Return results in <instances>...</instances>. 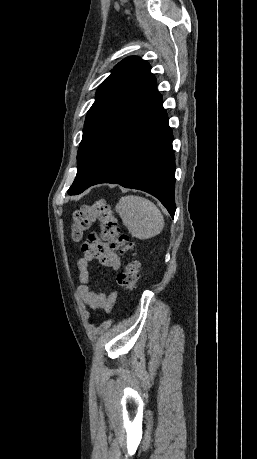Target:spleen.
Returning a JSON list of instances; mask_svg holds the SVG:
<instances>
[{
    "label": "spleen",
    "mask_w": 257,
    "mask_h": 459,
    "mask_svg": "<svg viewBox=\"0 0 257 459\" xmlns=\"http://www.w3.org/2000/svg\"><path fill=\"white\" fill-rule=\"evenodd\" d=\"M116 211L129 233L145 240L158 235L164 227V218L158 207L150 200L136 195L120 198Z\"/></svg>",
    "instance_id": "3e777b00"
}]
</instances>
